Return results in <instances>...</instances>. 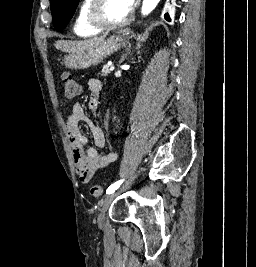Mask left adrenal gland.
Segmentation results:
<instances>
[{
	"label": "left adrenal gland",
	"instance_id": "1",
	"mask_svg": "<svg viewBox=\"0 0 256 267\" xmlns=\"http://www.w3.org/2000/svg\"><path fill=\"white\" fill-rule=\"evenodd\" d=\"M130 48H131V46L129 44L128 48H126L127 52H126V54H124V56H127V54H130V52H131Z\"/></svg>",
	"mask_w": 256,
	"mask_h": 267
}]
</instances>
